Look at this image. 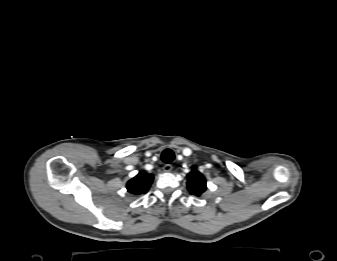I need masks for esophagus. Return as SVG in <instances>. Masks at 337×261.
Wrapping results in <instances>:
<instances>
[{"label":"esophagus","mask_w":337,"mask_h":261,"mask_svg":"<svg viewBox=\"0 0 337 261\" xmlns=\"http://www.w3.org/2000/svg\"><path fill=\"white\" fill-rule=\"evenodd\" d=\"M172 169H173V166H172L171 164H165V165L163 166V171H164V172H171Z\"/></svg>","instance_id":"esophagus-1"}]
</instances>
